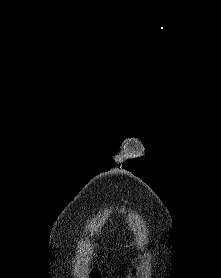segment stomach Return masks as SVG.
Wrapping results in <instances>:
<instances>
[{
  "instance_id": "obj_1",
  "label": "stomach",
  "mask_w": 221,
  "mask_h": 278,
  "mask_svg": "<svg viewBox=\"0 0 221 278\" xmlns=\"http://www.w3.org/2000/svg\"><path fill=\"white\" fill-rule=\"evenodd\" d=\"M134 268H137V265H134ZM124 275H133V270H124Z\"/></svg>"
}]
</instances>
